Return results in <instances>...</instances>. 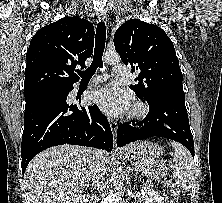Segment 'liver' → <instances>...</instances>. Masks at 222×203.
<instances>
[{"mask_svg": "<svg viewBox=\"0 0 222 203\" xmlns=\"http://www.w3.org/2000/svg\"><path fill=\"white\" fill-rule=\"evenodd\" d=\"M96 154L103 164L106 153ZM96 154L82 146L59 145L36 155L25 172L30 203H68L80 196L90 182V165Z\"/></svg>", "mask_w": 222, "mask_h": 203, "instance_id": "liver-1", "label": "liver"}]
</instances>
